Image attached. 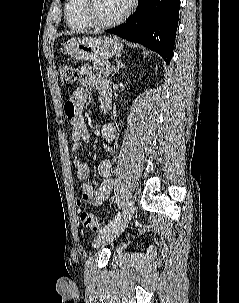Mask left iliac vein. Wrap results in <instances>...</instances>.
Returning a JSON list of instances; mask_svg holds the SVG:
<instances>
[{
	"instance_id": "left-iliac-vein-1",
	"label": "left iliac vein",
	"mask_w": 239,
	"mask_h": 303,
	"mask_svg": "<svg viewBox=\"0 0 239 303\" xmlns=\"http://www.w3.org/2000/svg\"><path fill=\"white\" fill-rule=\"evenodd\" d=\"M135 211V202L131 200L121 218L107 231L100 233L95 237L93 241V246L95 248H101L108 243L113 242L128 226Z\"/></svg>"
}]
</instances>
